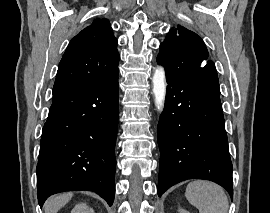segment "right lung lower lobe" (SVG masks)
<instances>
[{
  "label": "right lung lower lobe",
  "instance_id": "1",
  "mask_svg": "<svg viewBox=\"0 0 270 213\" xmlns=\"http://www.w3.org/2000/svg\"><path fill=\"white\" fill-rule=\"evenodd\" d=\"M118 74L53 96L36 168L42 207L52 194L90 190L111 206L115 196Z\"/></svg>",
  "mask_w": 270,
  "mask_h": 213
}]
</instances>
